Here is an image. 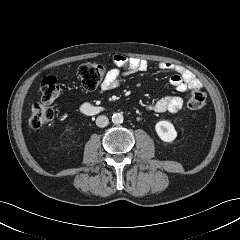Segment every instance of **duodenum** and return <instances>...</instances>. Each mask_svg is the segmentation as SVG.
I'll return each instance as SVG.
<instances>
[{
    "instance_id": "410a0bca",
    "label": "duodenum",
    "mask_w": 240,
    "mask_h": 240,
    "mask_svg": "<svg viewBox=\"0 0 240 240\" xmlns=\"http://www.w3.org/2000/svg\"><path fill=\"white\" fill-rule=\"evenodd\" d=\"M81 112L84 114H95L99 111L98 107L91 102H85L81 105Z\"/></svg>"
}]
</instances>
